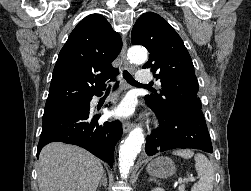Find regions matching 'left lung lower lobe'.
<instances>
[{
  "label": "left lung lower lobe",
  "mask_w": 251,
  "mask_h": 191,
  "mask_svg": "<svg viewBox=\"0 0 251 191\" xmlns=\"http://www.w3.org/2000/svg\"><path fill=\"white\" fill-rule=\"evenodd\" d=\"M160 126L147 137L145 151L149 156L177 148L200 149L213 152L210 135L201 107L187 106L174 110L161 119L153 107Z\"/></svg>",
  "instance_id": "0a47b994"
}]
</instances>
